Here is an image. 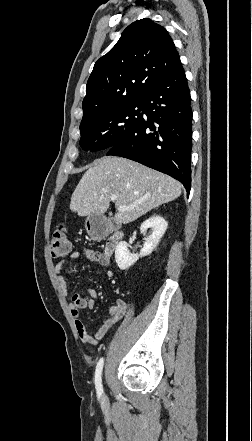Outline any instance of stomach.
<instances>
[{
  "mask_svg": "<svg viewBox=\"0 0 252 441\" xmlns=\"http://www.w3.org/2000/svg\"><path fill=\"white\" fill-rule=\"evenodd\" d=\"M85 227L88 233H91L92 230V216H88L85 222Z\"/></svg>",
  "mask_w": 252,
  "mask_h": 441,
  "instance_id": "1",
  "label": "stomach"
}]
</instances>
